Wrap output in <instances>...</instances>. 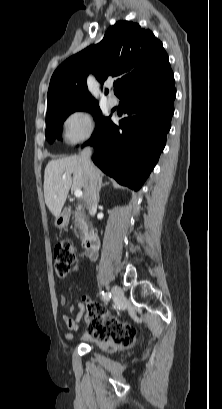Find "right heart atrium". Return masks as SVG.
I'll use <instances>...</instances> for the list:
<instances>
[{"instance_id":"1","label":"right heart atrium","mask_w":222,"mask_h":409,"mask_svg":"<svg viewBox=\"0 0 222 409\" xmlns=\"http://www.w3.org/2000/svg\"><path fill=\"white\" fill-rule=\"evenodd\" d=\"M94 132V116L88 110H76L70 113L63 123V136L69 144L89 140Z\"/></svg>"}]
</instances>
